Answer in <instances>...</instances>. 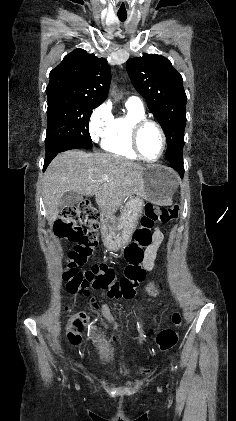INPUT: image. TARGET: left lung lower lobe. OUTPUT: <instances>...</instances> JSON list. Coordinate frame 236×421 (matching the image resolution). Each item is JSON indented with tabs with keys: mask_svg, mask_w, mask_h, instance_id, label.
I'll list each match as a JSON object with an SVG mask.
<instances>
[{
	"mask_svg": "<svg viewBox=\"0 0 236 421\" xmlns=\"http://www.w3.org/2000/svg\"><path fill=\"white\" fill-rule=\"evenodd\" d=\"M168 166L175 169L181 178H183V160L182 161H175V162H168Z\"/></svg>",
	"mask_w": 236,
	"mask_h": 421,
	"instance_id": "0a47b994",
	"label": "left lung lower lobe"
}]
</instances>
